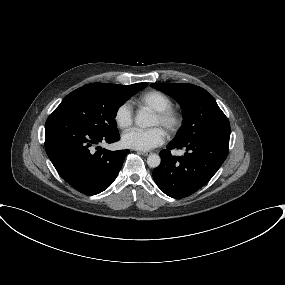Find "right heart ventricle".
Segmentation results:
<instances>
[{
    "mask_svg": "<svg viewBox=\"0 0 285 285\" xmlns=\"http://www.w3.org/2000/svg\"><path fill=\"white\" fill-rule=\"evenodd\" d=\"M139 103L150 108L153 111H161L172 106L171 98L157 90H151L143 93L139 99Z\"/></svg>",
    "mask_w": 285,
    "mask_h": 285,
    "instance_id": "e07e8e85",
    "label": "right heart ventricle"
}]
</instances>
